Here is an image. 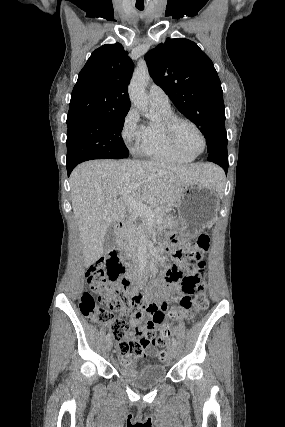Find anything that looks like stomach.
Instances as JSON below:
<instances>
[{"label":"stomach","mask_w":285,"mask_h":427,"mask_svg":"<svg viewBox=\"0 0 285 427\" xmlns=\"http://www.w3.org/2000/svg\"><path fill=\"white\" fill-rule=\"evenodd\" d=\"M219 197L212 186L194 182L183 186L177 200L178 217L173 229L196 235L217 217Z\"/></svg>","instance_id":"1"}]
</instances>
